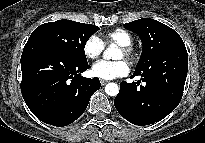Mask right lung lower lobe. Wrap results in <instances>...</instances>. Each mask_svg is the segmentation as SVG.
<instances>
[{"label": "right lung lower lobe", "mask_w": 205, "mask_h": 143, "mask_svg": "<svg viewBox=\"0 0 205 143\" xmlns=\"http://www.w3.org/2000/svg\"><path fill=\"white\" fill-rule=\"evenodd\" d=\"M89 68L51 44L28 40L21 56V93L30 111L53 126L74 122L100 88L98 78L81 76Z\"/></svg>", "instance_id": "obj_1"}]
</instances>
